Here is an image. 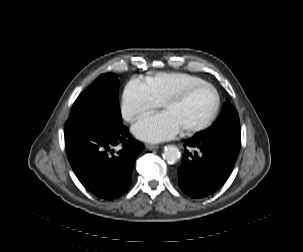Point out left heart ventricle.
<instances>
[{
    "label": "left heart ventricle",
    "mask_w": 303,
    "mask_h": 252,
    "mask_svg": "<svg viewBox=\"0 0 303 252\" xmlns=\"http://www.w3.org/2000/svg\"><path fill=\"white\" fill-rule=\"evenodd\" d=\"M213 107V93L209 89H201L182 104L168 107L166 112L181 130H188L203 124L212 113Z\"/></svg>",
    "instance_id": "1"
}]
</instances>
